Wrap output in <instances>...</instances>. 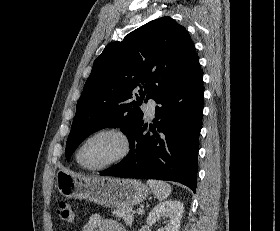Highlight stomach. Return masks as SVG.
<instances>
[{"instance_id": "obj_1", "label": "stomach", "mask_w": 280, "mask_h": 231, "mask_svg": "<svg viewBox=\"0 0 280 231\" xmlns=\"http://www.w3.org/2000/svg\"><path fill=\"white\" fill-rule=\"evenodd\" d=\"M55 183L64 197L89 199L103 207H131L142 203L150 193L139 179L82 175L70 169H58Z\"/></svg>"}]
</instances>
